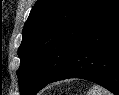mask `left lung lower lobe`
I'll use <instances>...</instances> for the list:
<instances>
[{
  "mask_svg": "<svg viewBox=\"0 0 119 95\" xmlns=\"http://www.w3.org/2000/svg\"><path fill=\"white\" fill-rule=\"evenodd\" d=\"M68 78L86 79L119 95V0L83 35L49 83Z\"/></svg>",
  "mask_w": 119,
  "mask_h": 95,
  "instance_id": "1",
  "label": "left lung lower lobe"
}]
</instances>
